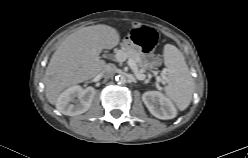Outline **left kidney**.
Segmentation results:
<instances>
[{"mask_svg": "<svg viewBox=\"0 0 248 158\" xmlns=\"http://www.w3.org/2000/svg\"><path fill=\"white\" fill-rule=\"evenodd\" d=\"M142 100L150 113L158 119H173L177 110L173 103L159 91H147L142 95Z\"/></svg>", "mask_w": 248, "mask_h": 158, "instance_id": "5707ae66", "label": "left kidney"}]
</instances>
